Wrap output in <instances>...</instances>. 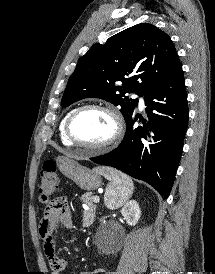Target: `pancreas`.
I'll use <instances>...</instances> for the list:
<instances>
[{"label": "pancreas", "mask_w": 215, "mask_h": 274, "mask_svg": "<svg viewBox=\"0 0 215 274\" xmlns=\"http://www.w3.org/2000/svg\"><path fill=\"white\" fill-rule=\"evenodd\" d=\"M81 201L87 207L86 210L83 211V219L85 221V225L92 224L95 218L96 205L93 203V196L91 192H87L82 195Z\"/></svg>", "instance_id": "cf45deb5"}]
</instances>
